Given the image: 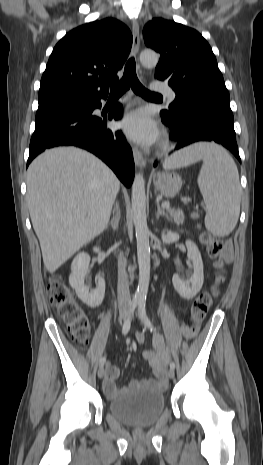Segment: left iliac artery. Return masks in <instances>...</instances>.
Here are the masks:
<instances>
[{"label":"left iliac artery","instance_id":"44dca946","mask_svg":"<svg viewBox=\"0 0 263 465\" xmlns=\"http://www.w3.org/2000/svg\"><path fill=\"white\" fill-rule=\"evenodd\" d=\"M138 315L141 319V321L145 324L146 327L150 329V331H154L155 328L153 324L151 323L150 319L148 318L146 314V308H145V302L141 301L138 303ZM170 368L175 369V363L171 362L170 363Z\"/></svg>","mask_w":263,"mask_h":465}]
</instances>
